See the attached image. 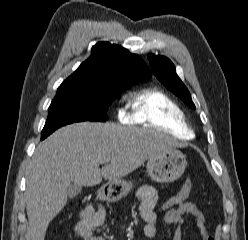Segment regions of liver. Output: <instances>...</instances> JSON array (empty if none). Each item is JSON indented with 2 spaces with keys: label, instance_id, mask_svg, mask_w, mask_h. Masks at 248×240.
<instances>
[{
  "label": "liver",
  "instance_id": "1",
  "mask_svg": "<svg viewBox=\"0 0 248 240\" xmlns=\"http://www.w3.org/2000/svg\"><path fill=\"white\" fill-rule=\"evenodd\" d=\"M178 145L162 133L113 123L58 129L37 146L29 165L25 195L31 240H44L49 223L67 203L71 183L88 187L102 178L120 180Z\"/></svg>",
  "mask_w": 248,
  "mask_h": 240
}]
</instances>
